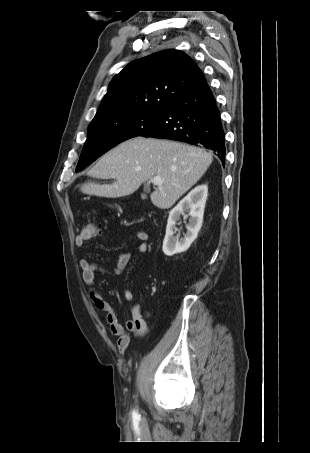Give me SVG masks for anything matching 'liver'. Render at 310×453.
<instances>
[{"label":"liver","mask_w":310,"mask_h":453,"mask_svg":"<svg viewBox=\"0 0 310 453\" xmlns=\"http://www.w3.org/2000/svg\"><path fill=\"white\" fill-rule=\"evenodd\" d=\"M212 161L210 153L195 146L135 137L107 152L88 172L95 178L114 179L111 185L88 181L80 191L119 198L133 194L143 182L159 176L163 183L150 199L156 207L168 209L203 176Z\"/></svg>","instance_id":"liver-1"}]
</instances>
